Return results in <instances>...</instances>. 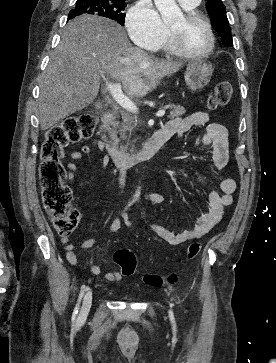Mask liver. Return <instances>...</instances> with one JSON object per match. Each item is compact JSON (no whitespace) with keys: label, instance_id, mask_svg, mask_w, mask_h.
<instances>
[{"label":"liver","instance_id":"1","mask_svg":"<svg viewBox=\"0 0 276 363\" xmlns=\"http://www.w3.org/2000/svg\"><path fill=\"white\" fill-rule=\"evenodd\" d=\"M182 65L153 59L133 47L124 28L110 19L81 15L65 27L42 74L38 98L41 130L91 104L103 75L121 82L127 96L143 97Z\"/></svg>","mask_w":276,"mask_h":363}]
</instances>
